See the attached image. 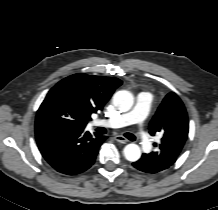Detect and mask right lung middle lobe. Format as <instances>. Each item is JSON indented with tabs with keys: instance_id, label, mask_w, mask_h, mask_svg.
Listing matches in <instances>:
<instances>
[{
	"instance_id": "obj_1",
	"label": "right lung middle lobe",
	"mask_w": 218,
	"mask_h": 210,
	"mask_svg": "<svg viewBox=\"0 0 218 210\" xmlns=\"http://www.w3.org/2000/svg\"><path fill=\"white\" fill-rule=\"evenodd\" d=\"M40 123H54L69 129L85 127L77 108L61 94L51 91L38 109L36 124Z\"/></svg>"
}]
</instances>
